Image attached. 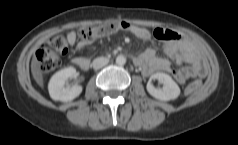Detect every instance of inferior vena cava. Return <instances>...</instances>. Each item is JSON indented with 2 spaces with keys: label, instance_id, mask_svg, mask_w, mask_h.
<instances>
[{
  "label": "inferior vena cava",
  "instance_id": "1",
  "mask_svg": "<svg viewBox=\"0 0 238 145\" xmlns=\"http://www.w3.org/2000/svg\"><path fill=\"white\" fill-rule=\"evenodd\" d=\"M108 62H109V59L106 57H97L93 60L92 66L95 70H98L104 67L105 65H107Z\"/></svg>",
  "mask_w": 238,
  "mask_h": 145
}]
</instances>
